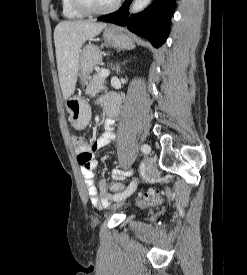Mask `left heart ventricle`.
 <instances>
[{"label":"left heart ventricle","instance_id":"b2bd125f","mask_svg":"<svg viewBox=\"0 0 247 275\" xmlns=\"http://www.w3.org/2000/svg\"><path fill=\"white\" fill-rule=\"evenodd\" d=\"M86 6L92 9H102L111 6L115 0H81Z\"/></svg>","mask_w":247,"mask_h":275}]
</instances>
